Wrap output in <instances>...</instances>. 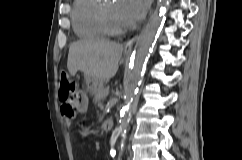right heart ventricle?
I'll return each mask as SVG.
<instances>
[{
	"label": "right heart ventricle",
	"instance_id": "obj_1",
	"mask_svg": "<svg viewBox=\"0 0 242 160\" xmlns=\"http://www.w3.org/2000/svg\"><path fill=\"white\" fill-rule=\"evenodd\" d=\"M99 0H74L71 20L78 37L82 39H100L104 34L97 21Z\"/></svg>",
	"mask_w": 242,
	"mask_h": 160
}]
</instances>
